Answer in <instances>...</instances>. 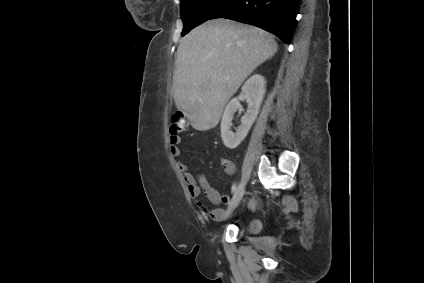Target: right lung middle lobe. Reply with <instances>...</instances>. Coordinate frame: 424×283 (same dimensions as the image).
Returning a JSON list of instances; mask_svg holds the SVG:
<instances>
[{
  "label": "right lung middle lobe",
  "instance_id": "obj_1",
  "mask_svg": "<svg viewBox=\"0 0 424 283\" xmlns=\"http://www.w3.org/2000/svg\"><path fill=\"white\" fill-rule=\"evenodd\" d=\"M228 0H181L180 9L184 36L191 29L210 19Z\"/></svg>",
  "mask_w": 424,
  "mask_h": 283
}]
</instances>
